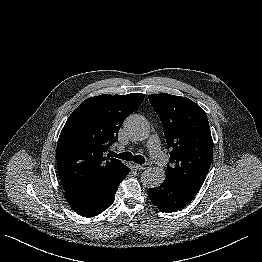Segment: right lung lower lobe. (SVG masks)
Instances as JSON below:
<instances>
[{
	"label": "right lung lower lobe",
	"mask_w": 262,
	"mask_h": 262,
	"mask_svg": "<svg viewBox=\"0 0 262 262\" xmlns=\"http://www.w3.org/2000/svg\"><path fill=\"white\" fill-rule=\"evenodd\" d=\"M130 172L128 168L125 176L118 182L109 185H97L76 191H65V197L75 212L83 217H93L105 211L114 202L115 194L120 182Z\"/></svg>",
	"instance_id": "1"
}]
</instances>
